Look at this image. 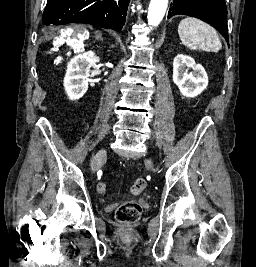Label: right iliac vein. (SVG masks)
<instances>
[{"label":"right iliac vein","instance_id":"63e3f726","mask_svg":"<svg viewBox=\"0 0 256 267\" xmlns=\"http://www.w3.org/2000/svg\"><path fill=\"white\" fill-rule=\"evenodd\" d=\"M106 154H107V149L103 148L92 158L91 169L93 172L98 170Z\"/></svg>","mask_w":256,"mask_h":267}]
</instances>
